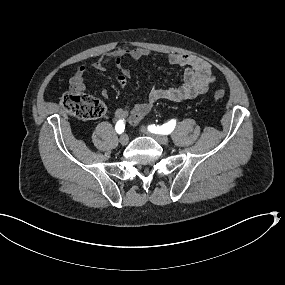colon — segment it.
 Returning a JSON list of instances; mask_svg holds the SVG:
<instances>
[{
	"instance_id": "colon-1",
	"label": "colon",
	"mask_w": 285,
	"mask_h": 285,
	"mask_svg": "<svg viewBox=\"0 0 285 285\" xmlns=\"http://www.w3.org/2000/svg\"><path fill=\"white\" fill-rule=\"evenodd\" d=\"M224 97L225 91L223 89L214 91L215 100L220 101ZM60 104L67 113L82 120L98 119L106 112L103 102L82 92L70 91L65 93Z\"/></svg>"
}]
</instances>
